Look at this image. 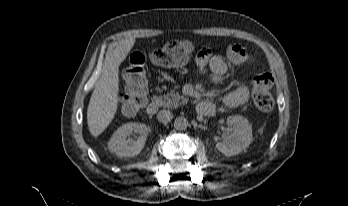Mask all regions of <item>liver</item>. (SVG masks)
<instances>
[{"instance_id":"1","label":"liver","mask_w":348,"mask_h":206,"mask_svg":"<svg viewBox=\"0 0 348 206\" xmlns=\"http://www.w3.org/2000/svg\"><path fill=\"white\" fill-rule=\"evenodd\" d=\"M135 43L129 38L107 55L100 79L95 85L87 109V123L92 136L98 137L113 120L118 105L119 66L126 59Z\"/></svg>"}]
</instances>
